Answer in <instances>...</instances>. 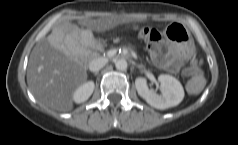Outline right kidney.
<instances>
[{
	"label": "right kidney",
	"mask_w": 238,
	"mask_h": 145,
	"mask_svg": "<svg viewBox=\"0 0 238 145\" xmlns=\"http://www.w3.org/2000/svg\"><path fill=\"white\" fill-rule=\"evenodd\" d=\"M95 88L93 81H88L80 85L73 93V100L76 103H83L92 95Z\"/></svg>",
	"instance_id": "right-kidney-1"
}]
</instances>
